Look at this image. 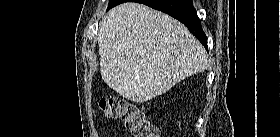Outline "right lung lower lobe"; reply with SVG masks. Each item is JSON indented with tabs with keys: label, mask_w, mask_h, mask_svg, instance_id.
I'll return each mask as SVG.
<instances>
[{
	"label": "right lung lower lobe",
	"mask_w": 280,
	"mask_h": 137,
	"mask_svg": "<svg viewBox=\"0 0 280 137\" xmlns=\"http://www.w3.org/2000/svg\"><path fill=\"white\" fill-rule=\"evenodd\" d=\"M124 2L143 3L162 11L182 22L207 49V37L202 29L192 0H124Z\"/></svg>",
	"instance_id": "1"
}]
</instances>
